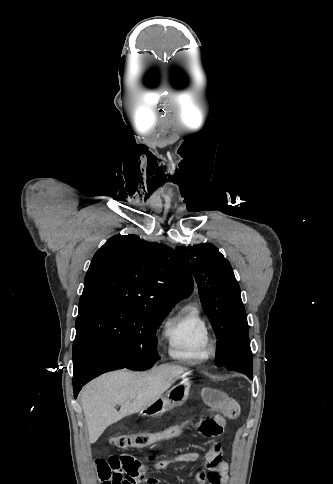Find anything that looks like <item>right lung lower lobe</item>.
Listing matches in <instances>:
<instances>
[{
	"instance_id": "obj_1",
	"label": "right lung lower lobe",
	"mask_w": 333,
	"mask_h": 484,
	"mask_svg": "<svg viewBox=\"0 0 333 484\" xmlns=\"http://www.w3.org/2000/svg\"><path fill=\"white\" fill-rule=\"evenodd\" d=\"M124 367L125 364L108 348L97 343H86L80 350V358L73 361L74 396L77 397L81 387L92 378Z\"/></svg>"
}]
</instances>
